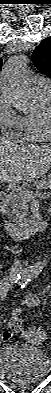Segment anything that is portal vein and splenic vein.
Returning <instances> with one entry per match:
<instances>
[{"mask_svg":"<svg viewBox=\"0 0 51 393\" xmlns=\"http://www.w3.org/2000/svg\"><path fill=\"white\" fill-rule=\"evenodd\" d=\"M19 190L21 192H23L25 194L26 198L29 199V200H31V199H33V198H35L37 196H40V194H38V193H29L27 190H23L20 187H19Z\"/></svg>","mask_w":51,"mask_h":393,"instance_id":"portal-vein-and-splenic-vein-1","label":"portal vein and splenic vein"}]
</instances>
